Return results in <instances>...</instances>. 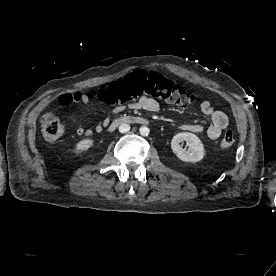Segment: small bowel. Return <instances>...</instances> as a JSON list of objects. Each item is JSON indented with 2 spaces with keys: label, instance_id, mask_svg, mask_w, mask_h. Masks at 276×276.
I'll return each mask as SVG.
<instances>
[{
  "label": "small bowel",
  "instance_id": "c3829d8e",
  "mask_svg": "<svg viewBox=\"0 0 276 276\" xmlns=\"http://www.w3.org/2000/svg\"><path fill=\"white\" fill-rule=\"evenodd\" d=\"M89 101V96L80 91L64 93L59 97V104L67 108L79 105H87ZM126 107L132 109H144L149 112H156L159 110L160 104L155 98L141 97L139 100L127 105H118L114 107L112 113L121 112ZM201 111L211 120V124L206 130L208 137L213 140L219 138L223 130L228 127L229 120L227 115L223 111L216 109L209 101H204L201 104ZM69 120L76 127V133L78 136H91L93 132H101L105 126L104 124H99L94 128H86L75 118L73 114H70ZM181 128L192 133H203L205 131V128L199 124H186Z\"/></svg>",
  "mask_w": 276,
  "mask_h": 276
}]
</instances>
